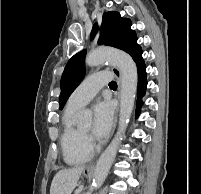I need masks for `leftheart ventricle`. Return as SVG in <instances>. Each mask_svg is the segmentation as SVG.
Segmentation results:
<instances>
[{"mask_svg":"<svg viewBox=\"0 0 201 194\" xmlns=\"http://www.w3.org/2000/svg\"><path fill=\"white\" fill-rule=\"evenodd\" d=\"M82 129H83L84 131H86V132L90 131V129H91V124L89 123V124L85 125Z\"/></svg>","mask_w":201,"mask_h":194,"instance_id":"b2bd125f","label":"left heart ventricle"}]
</instances>
